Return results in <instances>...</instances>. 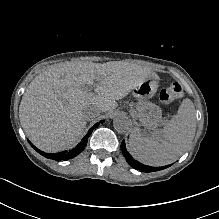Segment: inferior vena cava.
Listing matches in <instances>:
<instances>
[{
    "label": "inferior vena cava",
    "mask_w": 219,
    "mask_h": 219,
    "mask_svg": "<svg viewBox=\"0 0 219 219\" xmlns=\"http://www.w3.org/2000/svg\"><path fill=\"white\" fill-rule=\"evenodd\" d=\"M85 119L88 124L94 125L99 122L100 116L97 111L91 110L86 113Z\"/></svg>",
    "instance_id": "602c4592"
}]
</instances>
